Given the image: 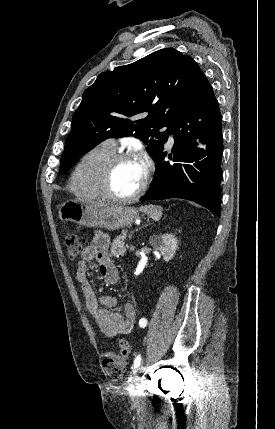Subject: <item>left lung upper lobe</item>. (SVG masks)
<instances>
[{"label": "left lung upper lobe", "instance_id": "5c2ea615", "mask_svg": "<svg viewBox=\"0 0 275 429\" xmlns=\"http://www.w3.org/2000/svg\"><path fill=\"white\" fill-rule=\"evenodd\" d=\"M201 72L190 56L166 48L101 73L84 91L73 115L59 172H67L108 138L137 137L154 159L189 103Z\"/></svg>", "mask_w": 275, "mask_h": 429}]
</instances>
